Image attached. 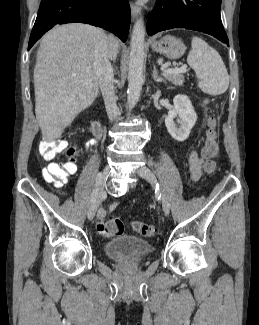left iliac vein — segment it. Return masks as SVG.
Returning a JSON list of instances; mask_svg holds the SVG:
<instances>
[{
  "instance_id": "obj_1",
  "label": "left iliac vein",
  "mask_w": 259,
  "mask_h": 325,
  "mask_svg": "<svg viewBox=\"0 0 259 325\" xmlns=\"http://www.w3.org/2000/svg\"><path fill=\"white\" fill-rule=\"evenodd\" d=\"M137 174L143 179L147 180L150 184H156V178L151 170L146 166H141L137 169ZM162 207L165 215L170 213V203L165 195L162 196Z\"/></svg>"
}]
</instances>
